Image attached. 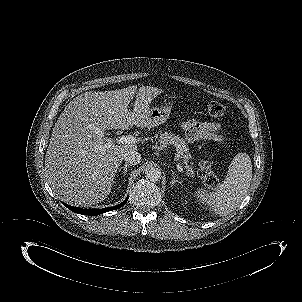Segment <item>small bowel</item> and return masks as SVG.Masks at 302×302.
Instances as JSON below:
<instances>
[{
  "label": "small bowel",
  "instance_id": "obj_1",
  "mask_svg": "<svg viewBox=\"0 0 302 302\" xmlns=\"http://www.w3.org/2000/svg\"><path fill=\"white\" fill-rule=\"evenodd\" d=\"M181 128L190 142L202 140L221 142L224 139L220 133V124L215 122L188 120L182 123Z\"/></svg>",
  "mask_w": 302,
  "mask_h": 302
}]
</instances>
